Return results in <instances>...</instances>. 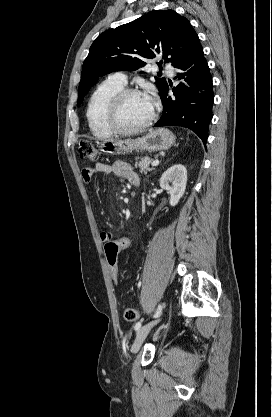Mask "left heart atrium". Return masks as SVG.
<instances>
[{
  "label": "left heart atrium",
  "mask_w": 272,
  "mask_h": 417,
  "mask_svg": "<svg viewBox=\"0 0 272 417\" xmlns=\"http://www.w3.org/2000/svg\"><path fill=\"white\" fill-rule=\"evenodd\" d=\"M150 107L154 110V107L156 105L155 99L153 97H146Z\"/></svg>",
  "instance_id": "39dd6f15"
}]
</instances>
